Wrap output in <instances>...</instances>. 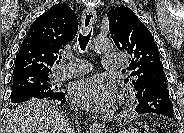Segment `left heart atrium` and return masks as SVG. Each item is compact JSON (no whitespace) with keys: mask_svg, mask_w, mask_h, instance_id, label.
I'll return each instance as SVG.
<instances>
[{"mask_svg":"<svg viewBox=\"0 0 184 133\" xmlns=\"http://www.w3.org/2000/svg\"><path fill=\"white\" fill-rule=\"evenodd\" d=\"M71 93L76 105L94 112L109 109L116 96L113 85L104 84L97 78H87L74 83Z\"/></svg>","mask_w":184,"mask_h":133,"instance_id":"39dd6f15","label":"left heart atrium"}]
</instances>
